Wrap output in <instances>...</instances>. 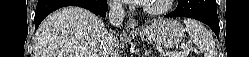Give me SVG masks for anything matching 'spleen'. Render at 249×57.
Masks as SVG:
<instances>
[{
  "instance_id": "spleen-1",
  "label": "spleen",
  "mask_w": 249,
  "mask_h": 57,
  "mask_svg": "<svg viewBox=\"0 0 249 57\" xmlns=\"http://www.w3.org/2000/svg\"><path fill=\"white\" fill-rule=\"evenodd\" d=\"M184 24L193 43L204 52V57H216L213 38L207 29L194 19H185Z\"/></svg>"
}]
</instances>
